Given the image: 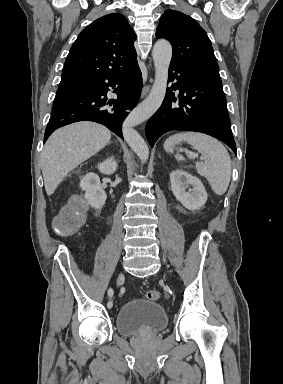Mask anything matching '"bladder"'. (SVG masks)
<instances>
[{
	"mask_svg": "<svg viewBox=\"0 0 283 384\" xmlns=\"http://www.w3.org/2000/svg\"><path fill=\"white\" fill-rule=\"evenodd\" d=\"M168 315L161 303L134 298L116 312V330L124 336L157 335L167 326Z\"/></svg>",
	"mask_w": 283,
	"mask_h": 384,
	"instance_id": "31cf9c89",
	"label": "bladder"
}]
</instances>
